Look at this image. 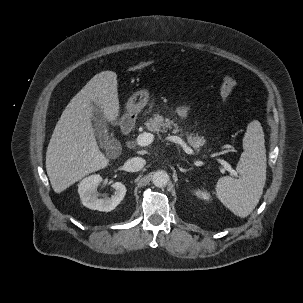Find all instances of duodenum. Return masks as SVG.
Segmentation results:
<instances>
[{
	"instance_id": "1",
	"label": "duodenum",
	"mask_w": 303,
	"mask_h": 303,
	"mask_svg": "<svg viewBox=\"0 0 303 303\" xmlns=\"http://www.w3.org/2000/svg\"><path fill=\"white\" fill-rule=\"evenodd\" d=\"M131 127H132V124L129 122V121H126L125 123H124V127H123V129H124V132H129L130 131V129H131Z\"/></svg>"
}]
</instances>
